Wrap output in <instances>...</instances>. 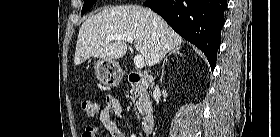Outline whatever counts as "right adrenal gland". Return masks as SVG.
Masks as SVG:
<instances>
[{"label":"right adrenal gland","mask_w":280,"mask_h":137,"mask_svg":"<svg viewBox=\"0 0 280 137\" xmlns=\"http://www.w3.org/2000/svg\"><path fill=\"white\" fill-rule=\"evenodd\" d=\"M172 54H176V55H182V53L180 52V48H176V49H173L171 50L168 55L165 57L164 61H163V64H162V72H161V80L163 79V76H164V67H165V63L168 59V56L172 55Z\"/></svg>","instance_id":"right-adrenal-gland-1"}]
</instances>
